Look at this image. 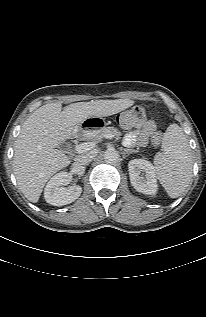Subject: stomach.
<instances>
[{
	"mask_svg": "<svg viewBox=\"0 0 206 317\" xmlns=\"http://www.w3.org/2000/svg\"><path fill=\"white\" fill-rule=\"evenodd\" d=\"M116 116L113 114H100L97 117L81 119L78 122L77 130L81 136L93 139L95 133L101 129L115 128L117 126Z\"/></svg>",
	"mask_w": 206,
	"mask_h": 317,
	"instance_id": "stomach-1",
	"label": "stomach"
}]
</instances>
